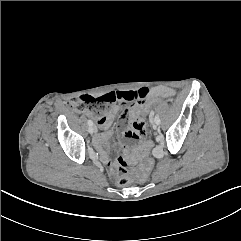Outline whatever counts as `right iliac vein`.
Instances as JSON below:
<instances>
[{
    "instance_id": "1",
    "label": "right iliac vein",
    "mask_w": 241,
    "mask_h": 241,
    "mask_svg": "<svg viewBox=\"0 0 241 241\" xmlns=\"http://www.w3.org/2000/svg\"><path fill=\"white\" fill-rule=\"evenodd\" d=\"M88 131H89L90 134L96 133L97 127H96L95 125H91V126L88 128Z\"/></svg>"
}]
</instances>
